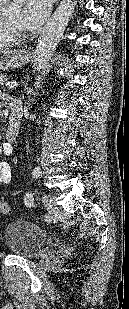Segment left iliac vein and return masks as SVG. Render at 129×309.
Wrapping results in <instances>:
<instances>
[{"mask_svg":"<svg viewBox=\"0 0 129 309\" xmlns=\"http://www.w3.org/2000/svg\"><path fill=\"white\" fill-rule=\"evenodd\" d=\"M42 202L45 204V206L49 210V214L52 219L57 218L61 212L55 205V200L53 197L50 196H42Z\"/></svg>","mask_w":129,"mask_h":309,"instance_id":"obj_1","label":"left iliac vein"}]
</instances>
